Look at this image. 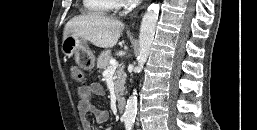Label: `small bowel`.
<instances>
[{
    "mask_svg": "<svg viewBox=\"0 0 257 130\" xmlns=\"http://www.w3.org/2000/svg\"><path fill=\"white\" fill-rule=\"evenodd\" d=\"M104 90L98 83L84 85L78 88V112L80 115L81 126L83 130H93L87 114L91 113L98 124L105 123L109 119V112L104 109L97 108L93 104L94 96H103Z\"/></svg>",
    "mask_w": 257,
    "mask_h": 130,
    "instance_id": "obj_1",
    "label": "small bowel"
}]
</instances>
